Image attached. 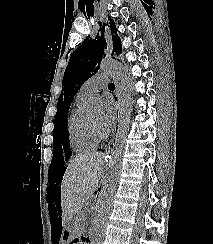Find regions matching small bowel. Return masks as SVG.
Instances as JSON below:
<instances>
[{"mask_svg":"<svg viewBox=\"0 0 213 244\" xmlns=\"http://www.w3.org/2000/svg\"><path fill=\"white\" fill-rule=\"evenodd\" d=\"M71 244H85L83 241L75 240Z\"/></svg>","mask_w":213,"mask_h":244,"instance_id":"obj_1","label":"small bowel"}]
</instances>
